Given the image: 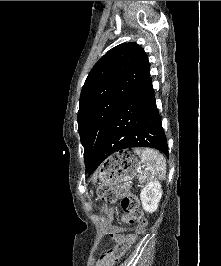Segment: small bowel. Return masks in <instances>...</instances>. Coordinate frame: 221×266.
Listing matches in <instances>:
<instances>
[{
    "instance_id": "1",
    "label": "small bowel",
    "mask_w": 221,
    "mask_h": 266,
    "mask_svg": "<svg viewBox=\"0 0 221 266\" xmlns=\"http://www.w3.org/2000/svg\"><path fill=\"white\" fill-rule=\"evenodd\" d=\"M121 236L120 235H117V238H120ZM97 266H98V264H97Z\"/></svg>"
}]
</instances>
